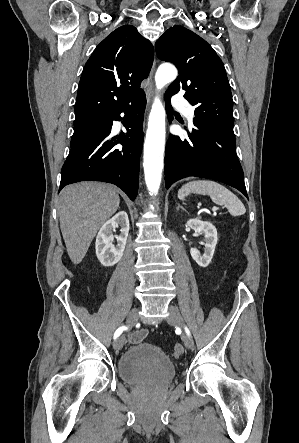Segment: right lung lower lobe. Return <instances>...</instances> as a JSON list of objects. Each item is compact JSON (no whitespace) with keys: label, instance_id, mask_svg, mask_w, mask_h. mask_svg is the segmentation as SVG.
I'll return each instance as SVG.
<instances>
[{"label":"right lung lower lobe","instance_id":"obj_1","mask_svg":"<svg viewBox=\"0 0 299 443\" xmlns=\"http://www.w3.org/2000/svg\"><path fill=\"white\" fill-rule=\"evenodd\" d=\"M145 105L143 91L131 103L103 114V129L71 148L61 170L60 189L79 181H103L117 185L134 200L138 192ZM121 113L125 116L121 117ZM122 119L127 133L112 137L113 121Z\"/></svg>","mask_w":299,"mask_h":443}]
</instances>
